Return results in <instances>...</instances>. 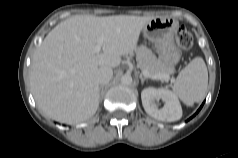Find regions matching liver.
Segmentation results:
<instances>
[{
	"instance_id": "liver-1",
	"label": "liver",
	"mask_w": 238,
	"mask_h": 158,
	"mask_svg": "<svg viewBox=\"0 0 238 158\" xmlns=\"http://www.w3.org/2000/svg\"><path fill=\"white\" fill-rule=\"evenodd\" d=\"M154 18L76 15L59 23L32 57L30 83L39 109L67 124L92 117L99 106L98 68L118 67ZM99 37H104L102 52L95 53Z\"/></svg>"
}]
</instances>
